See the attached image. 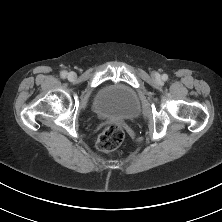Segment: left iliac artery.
Segmentation results:
<instances>
[{
	"label": "left iliac artery",
	"mask_w": 222,
	"mask_h": 222,
	"mask_svg": "<svg viewBox=\"0 0 222 222\" xmlns=\"http://www.w3.org/2000/svg\"><path fill=\"white\" fill-rule=\"evenodd\" d=\"M163 79H164V80H167V79H168V76H167V75H164V76H163Z\"/></svg>",
	"instance_id": "left-iliac-artery-1"
}]
</instances>
